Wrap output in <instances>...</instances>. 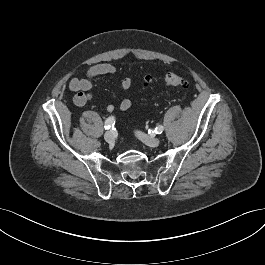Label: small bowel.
I'll list each match as a JSON object with an SVG mask.
<instances>
[{"label": "small bowel", "instance_id": "small-bowel-1", "mask_svg": "<svg viewBox=\"0 0 265 265\" xmlns=\"http://www.w3.org/2000/svg\"><path fill=\"white\" fill-rule=\"evenodd\" d=\"M117 72V68L109 63H100L92 66L83 78H73L68 84L70 91L75 92L73 102L76 106H84L93 99L92 94L89 92L93 86L94 81L101 76L113 75ZM120 87L128 90L132 86L130 78H123L119 82ZM132 106L130 99H124L120 102L118 108L121 111L128 110ZM115 110L113 104L106 106V111L111 113Z\"/></svg>", "mask_w": 265, "mask_h": 265}]
</instances>
